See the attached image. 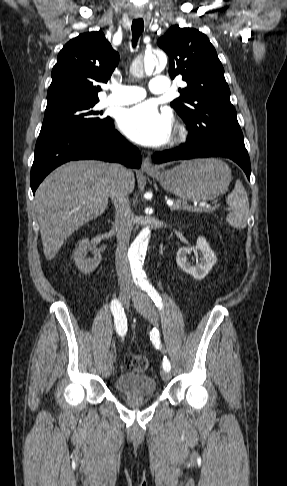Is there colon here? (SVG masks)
Returning a JSON list of instances; mask_svg holds the SVG:
<instances>
[{"mask_svg": "<svg viewBox=\"0 0 287 486\" xmlns=\"http://www.w3.org/2000/svg\"><path fill=\"white\" fill-rule=\"evenodd\" d=\"M125 365L132 371L142 372L149 367V360L143 355L130 354L125 358Z\"/></svg>", "mask_w": 287, "mask_h": 486, "instance_id": "1", "label": "colon"}]
</instances>
